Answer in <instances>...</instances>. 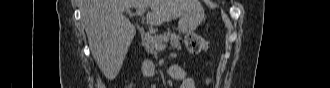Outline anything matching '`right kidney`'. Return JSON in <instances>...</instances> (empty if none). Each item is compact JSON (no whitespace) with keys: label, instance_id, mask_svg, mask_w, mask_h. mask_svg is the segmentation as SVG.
Segmentation results:
<instances>
[{"label":"right kidney","instance_id":"ca27d5eb","mask_svg":"<svg viewBox=\"0 0 330 88\" xmlns=\"http://www.w3.org/2000/svg\"><path fill=\"white\" fill-rule=\"evenodd\" d=\"M128 88H132V84H130V86H128Z\"/></svg>","mask_w":330,"mask_h":88}]
</instances>
